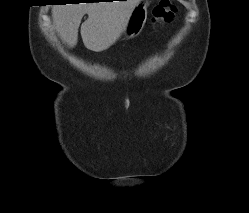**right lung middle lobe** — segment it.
Here are the masks:
<instances>
[{
    "label": "right lung middle lobe",
    "instance_id": "obj_1",
    "mask_svg": "<svg viewBox=\"0 0 249 213\" xmlns=\"http://www.w3.org/2000/svg\"><path fill=\"white\" fill-rule=\"evenodd\" d=\"M60 3H67V2H76L77 0H57Z\"/></svg>",
    "mask_w": 249,
    "mask_h": 213
}]
</instances>
